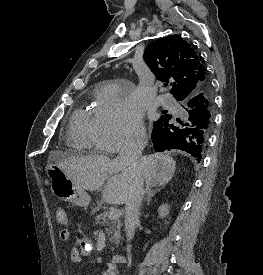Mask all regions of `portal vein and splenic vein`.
<instances>
[{"instance_id":"1","label":"portal vein and splenic vein","mask_w":263,"mask_h":275,"mask_svg":"<svg viewBox=\"0 0 263 275\" xmlns=\"http://www.w3.org/2000/svg\"><path fill=\"white\" fill-rule=\"evenodd\" d=\"M121 216V212L119 209H113L112 211L109 212L108 218L110 220H114V219H119Z\"/></svg>"}]
</instances>
